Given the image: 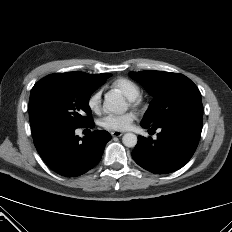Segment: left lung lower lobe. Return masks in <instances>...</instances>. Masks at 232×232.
I'll list each match as a JSON object with an SVG mask.
<instances>
[{
  "instance_id": "0a47b994",
  "label": "left lung lower lobe",
  "mask_w": 232,
  "mask_h": 232,
  "mask_svg": "<svg viewBox=\"0 0 232 232\" xmlns=\"http://www.w3.org/2000/svg\"><path fill=\"white\" fill-rule=\"evenodd\" d=\"M203 114L189 113L172 117L159 126L141 122L144 128H161L157 139L138 136L132 151L134 161L142 168L166 174L183 167L194 154L201 135Z\"/></svg>"
}]
</instances>
